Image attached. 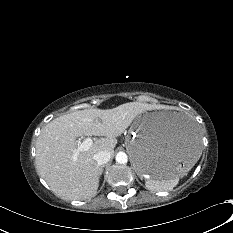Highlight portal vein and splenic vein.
Listing matches in <instances>:
<instances>
[{
    "label": "portal vein and splenic vein",
    "mask_w": 233,
    "mask_h": 233,
    "mask_svg": "<svg viewBox=\"0 0 233 233\" xmlns=\"http://www.w3.org/2000/svg\"><path fill=\"white\" fill-rule=\"evenodd\" d=\"M93 144V140L91 138H86L83 142H79L78 149L74 154V158L77 157L79 152L87 151Z\"/></svg>",
    "instance_id": "portal-vein-and-splenic-vein-1"
}]
</instances>
